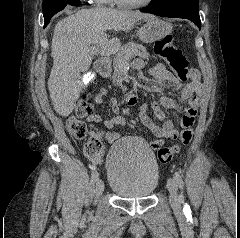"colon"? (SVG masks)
<instances>
[{"instance_id":"5ec220e1","label":"colon","mask_w":240,"mask_h":238,"mask_svg":"<svg viewBox=\"0 0 240 238\" xmlns=\"http://www.w3.org/2000/svg\"><path fill=\"white\" fill-rule=\"evenodd\" d=\"M155 52L163 57L181 81L190 77L188 61L182 51L175 45L174 40L167 36L157 41L154 46ZM91 104L87 99L78 101L74 113L67 119L66 127L70 135L75 139H84L89 136L84 147L85 155L94 162H99L98 157L105 147L101 135L89 132L84 118L90 113ZM193 137L191 126L185 127L180 133L179 143L172 147H163L158 150V159L161 163L170 162L183 146L188 145Z\"/></svg>"}]
</instances>
